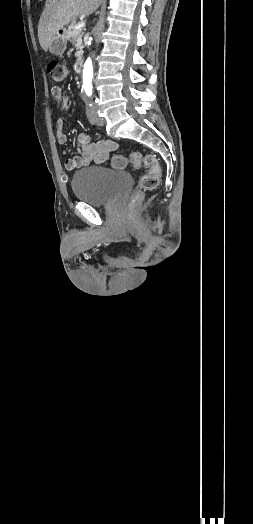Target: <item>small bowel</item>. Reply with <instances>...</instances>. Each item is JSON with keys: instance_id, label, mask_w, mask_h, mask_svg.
Wrapping results in <instances>:
<instances>
[{"instance_id": "1", "label": "small bowel", "mask_w": 253, "mask_h": 524, "mask_svg": "<svg viewBox=\"0 0 253 524\" xmlns=\"http://www.w3.org/2000/svg\"><path fill=\"white\" fill-rule=\"evenodd\" d=\"M53 97L57 100L61 109H68L71 106V98L64 96L60 87L55 86L51 89ZM56 138L59 144L65 145L67 143V135L65 133V123L62 118L56 121ZM77 143L80 150V156L67 158L65 160V167L68 170H74L80 167L87 166L92 162L102 163L106 161L109 154L116 150L118 145L112 140L92 141L90 137L83 132L77 134Z\"/></svg>"}]
</instances>
